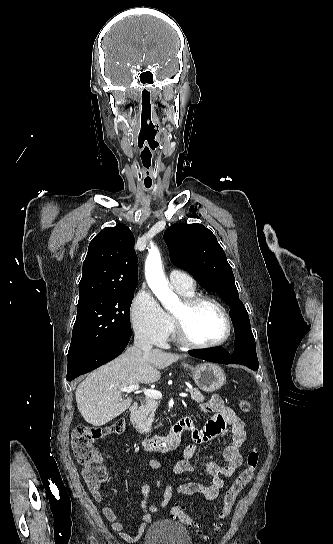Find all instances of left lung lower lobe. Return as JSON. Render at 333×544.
I'll return each mask as SVG.
<instances>
[{
    "mask_svg": "<svg viewBox=\"0 0 333 544\" xmlns=\"http://www.w3.org/2000/svg\"><path fill=\"white\" fill-rule=\"evenodd\" d=\"M189 354L193 357L212 362L223 364H241L254 371L258 370V360L254 347L251 350L240 348L239 353L235 351L232 356H230L229 353H227V351L223 348L215 350H191L189 351Z\"/></svg>",
    "mask_w": 333,
    "mask_h": 544,
    "instance_id": "left-lung-lower-lobe-1",
    "label": "left lung lower lobe"
}]
</instances>
